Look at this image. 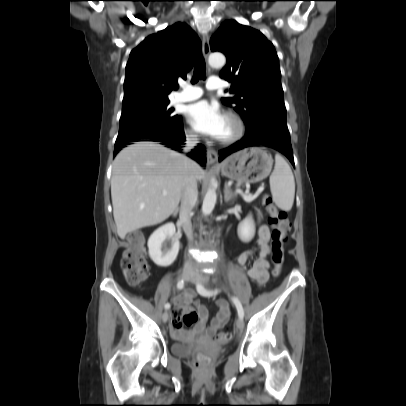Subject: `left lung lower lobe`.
I'll list each match as a JSON object with an SVG mask.
<instances>
[{
    "label": "left lung lower lobe",
    "instance_id": "left-lung-lower-lobe-1",
    "mask_svg": "<svg viewBox=\"0 0 406 406\" xmlns=\"http://www.w3.org/2000/svg\"><path fill=\"white\" fill-rule=\"evenodd\" d=\"M255 145L274 148L283 153L295 166L288 128L274 122H261L247 127L245 136L240 141L219 151V160L243 148Z\"/></svg>",
    "mask_w": 406,
    "mask_h": 406
}]
</instances>
